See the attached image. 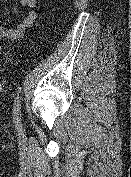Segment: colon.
<instances>
[{
  "instance_id": "colon-1",
  "label": "colon",
  "mask_w": 131,
  "mask_h": 177,
  "mask_svg": "<svg viewBox=\"0 0 131 177\" xmlns=\"http://www.w3.org/2000/svg\"><path fill=\"white\" fill-rule=\"evenodd\" d=\"M6 69V63L0 60V72H3Z\"/></svg>"
}]
</instances>
